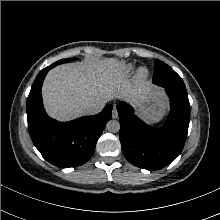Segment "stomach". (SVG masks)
I'll return each mask as SVG.
<instances>
[{
	"instance_id": "0dacf381",
	"label": "stomach",
	"mask_w": 220,
	"mask_h": 220,
	"mask_svg": "<svg viewBox=\"0 0 220 220\" xmlns=\"http://www.w3.org/2000/svg\"><path fill=\"white\" fill-rule=\"evenodd\" d=\"M165 113V101L159 92L153 93L146 101L140 104V114L149 123L162 119Z\"/></svg>"
}]
</instances>
